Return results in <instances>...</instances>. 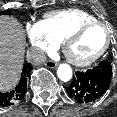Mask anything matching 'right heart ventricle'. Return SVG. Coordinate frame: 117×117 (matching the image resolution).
<instances>
[{
	"mask_svg": "<svg viewBox=\"0 0 117 117\" xmlns=\"http://www.w3.org/2000/svg\"><path fill=\"white\" fill-rule=\"evenodd\" d=\"M96 20L93 15L84 10L66 9L47 13L41 22L51 37L60 43L81 24Z\"/></svg>",
	"mask_w": 117,
	"mask_h": 117,
	"instance_id": "e07e8e85",
	"label": "right heart ventricle"
}]
</instances>
